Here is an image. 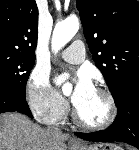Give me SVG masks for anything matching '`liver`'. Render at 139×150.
Instances as JSON below:
<instances>
[{
  "label": "liver",
  "instance_id": "liver-1",
  "mask_svg": "<svg viewBox=\"0 0 139 150\" xmlns=\"http://www.w3.org/2000/svg\"><path fill=\"white\" fill-rule=\"evenodd\" d=\"M68 136L43 129L18 113L0 115V150H66Z\"/></svg>",
  "mask_w": 139,
  "mask_h": 150
}]
</instances>
